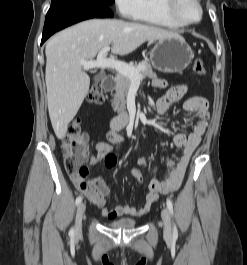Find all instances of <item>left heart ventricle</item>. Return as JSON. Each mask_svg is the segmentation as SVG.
Masks as SVG:
<instances>
[{
	"mask_svg": "<svg viewBox=\"0 0 247 265\" xmlns=\"http://www.w3.org/2000/svg\"><path fill=\"white\" fill-rule=\"evenodd\" d=\"M179 11L182 17L188 21H194L199 17V10L193 0H182Z\"/></svg>",
	"mask_w": 247,
	"mask_h": 265,
	"instance_id": "b2bd125f",
	"label": "left heart ventricle"
}]
</instances>
